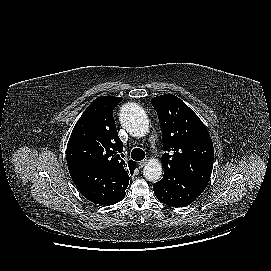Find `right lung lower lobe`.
I'll use <instances>...</instances> for the list:
<instances>
[{
	"label": "right lung lower lobe",
	"mask_w": 271,
	"mask_h": 271,
	"mask_svg": "<svg viewBox=\"0 0 271 271\" xmlns=\"http://www.w3.org/2000/svg\"><path fill=\"white\" fill-rule=\"evenodd\" d=\"M71 178L81 194L99 205H113L125 197L129 180L116 172L101 170L83 163L68 165Z\"/></svg>",
	"instance_id": "1"
}]
</instances>
